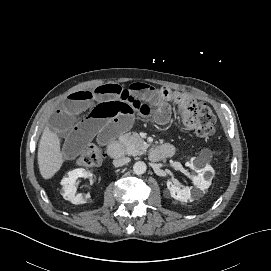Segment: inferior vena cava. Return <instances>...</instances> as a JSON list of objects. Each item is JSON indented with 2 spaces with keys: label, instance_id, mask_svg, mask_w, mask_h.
Listing matches in <instances>:
<instances>
[{
  "label": "inferior vena cava",
  "instance_id": "inferior-vena-cava-1",
  "mask_svg": "<svg viewBox=\"0 0 271 271\" xmlns=\"http://www.w3.org/2000/svg\"><path fill=\"white\" fill-rule=\"evenodd\" d=\"M131 161V159L129 157H122V158H118L113 160V165L115 167H121L127 163H129Z\"/></svg>",
  "mask_w": 271,
  "mask_h": 271
}]
</instances>
